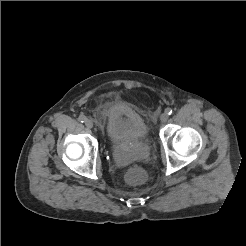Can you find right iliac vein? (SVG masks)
<instances>
[{"label": "right iliac vein", "mask_w": 246, "mask_h": 246, "mask_svg": "<svg viewBox=\"0 0 246 246\" xmlns=\"http://www.w3.org/2000/svg\"><path fill=\"white\" fill-rule=\"evenodd\" d=\"M85 125L88 128H92L93 127V121L91 119H86L85 120Z\"/></svg>", "instance_id": "obj_1"}]
</instances>
